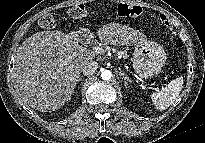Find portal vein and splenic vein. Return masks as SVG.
<instances>
[{"mask_svg": "<svg viewBox=\"0 0 205 143\" xmlns=\"http://www.w3.org/2000/svg\"><path fill=\"white\" fill-rule=\"evenodd\" d=\"M93 54H102L104 52V50L102 49V47L99 46H93L92 47V51ZM153 90L158 91L159 87H151Z\"/></svg>", "mask_w": 205, "mask_h": 143, "instance_id": "1", "label": "portal vein and splenic vein"}]
</instances>
